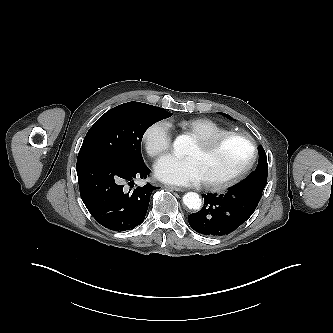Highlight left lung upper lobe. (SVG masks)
Wrapping results in <instances>:
<instances>
[{"label": "left lung upper lobe", "mask_w": 333, "mask_h": 333, "mask_svg": "<svg viewBox=\"0 0 333 333\" xmlns=\"http://www.w3.org/2000/svg\"><path fill=\"white\" fill-rule=\"evenodd\" d=\"M228 119H233L231 116L224 114ZM259 152V161L256 170L243 182L235 185V188L256 191L262 194L266 183H267V175H268V163L266 153L262 146L258 147Z\"/></svg>", "instance_id": "1"}]
</instances>
